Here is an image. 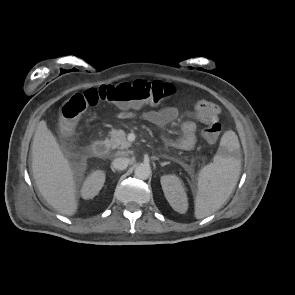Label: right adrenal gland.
Masks as SVG:
<instances>
[{"instance_id": "2a0ac1e0", "label": "right adrenal gland", "mask_w": 295, "mask_h": 295, "mask_svg": "<svg viewBox=\"0 0 295 295\" xmlns=\"http://www.w3.org/2000/svg\"><path fill=\"white\" fill-rule=\"evenodd\" d=\"M112 172L116 173V170L113 168V166H110Z\"/></svg>"}]
</instances>
